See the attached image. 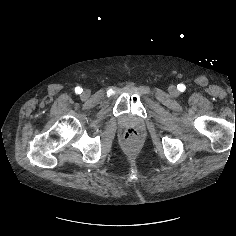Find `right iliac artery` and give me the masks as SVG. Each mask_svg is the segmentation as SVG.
<instances>
[{"instance_id":"right-iliac-artery-1","label":"right iliac artery","mask_w":236,"mask_h":236,"mask_svg":"<svg viewBox=\"0 0 236 236\" xmlns=\"http://www.w3.org/2000/svg\"><path fill=\"white\" fill-rule=\"evenodd\" d=\"M82 91H83V89L81 87H79V86L75 88V93L76 94H81Z\"/></svg>"}]
</instances>
